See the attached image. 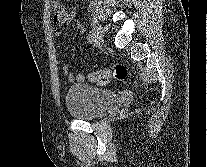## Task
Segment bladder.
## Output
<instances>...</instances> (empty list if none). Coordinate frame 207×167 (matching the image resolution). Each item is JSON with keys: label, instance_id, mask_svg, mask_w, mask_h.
<instances>
[{"label": "bladder", "instance_id": "31cf9c89", "mask_svg": "<svg viewBox=\"0 0 207 167\" xmlns=\"http://www.w3.org/2000/svg\"><path fill=\"white\" fill-rule=\"evenodd\" d=\"M115 100L113 91L81 83L70 85L65 94L67 110L78 119H91L100 115Z\"/></svg>", "mask_w": 207, "mask_h": 167}]
</instances>
